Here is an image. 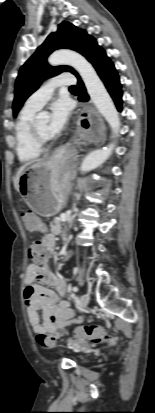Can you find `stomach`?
<instances>
[{"label": "stomach", "instance_id": "obj_1", "mask_svg": "<svg viewBox=\"0 0 155 413\" xmlns=\"http://www.w3.org/2000/svg\"><path fill=\"white\" fill-rule=\"evenodd\" d=\"M71 172L62 169L53 160L28 166L19 179L21 199L37 214L50 217L58 213L66 203Z\"/></svg>", "mask_w": 155, "mask_h": 413}]
</instances>
